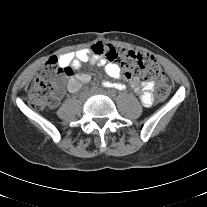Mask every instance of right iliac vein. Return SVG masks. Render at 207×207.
Wrapping results in <instances>:
<instances>
[{"instance_id": "obj_1", "label": "right iliac vein", "mask_w": 207, "mask_h": 207, "mask_svg": "<svg viewBox=\"0 0 207 207\" xmlns=\"http://www.w3.org/2000/svg\"><path fill=\"white\" fill-rule=\"evenodd\" d=\"M92 90H96V89H92ZM85 98H86V95L83 94V95L81 96V100H85Z\"/></svg>"}]
</instances>
